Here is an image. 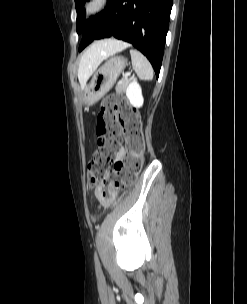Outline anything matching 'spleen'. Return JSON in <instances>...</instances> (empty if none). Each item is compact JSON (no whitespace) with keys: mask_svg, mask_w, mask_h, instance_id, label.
Returning <instances> with one entry per match:
<instances>
[{"mask_svg":"<svg viewBox=\"0 0 247 304\" xmlns=\"http://www.w3.org/2000/svg\"><path fill=\"white\" fill-rule=\"evenodd\" d=\"M132 65L141 80L150 81L153 79V68L148 59L135 49L130 50Z\"/></svg>","mask_w":247,"mask_h":304,"instance_id":"1","label":"spleen"}]
</instances>
